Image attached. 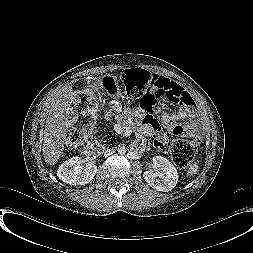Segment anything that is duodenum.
<instances>
[{
    "label": "duodenum",
    "mask_w": 253,
    "mask_h": 253,
    "mask_svg": "<svg viewBox=\"0 0 253 253\" xmlns=\"http://www.w3.org/2000/svg\"><path fill=\"white\" fill-rule=\"evenodd\" d=\"M101 152V147L97 143L90 142L84 147V153L88 156H97Z\"/></svg>",
    "instance_id": "410a0bca"
}]
</instances>
